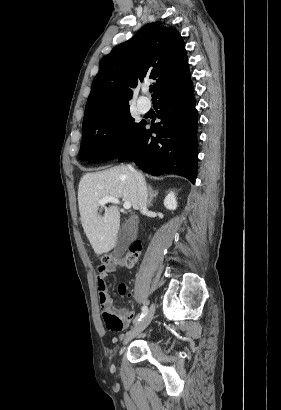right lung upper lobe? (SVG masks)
<instances>
[{"instance_id":"cb5924a9","label":"right lung upper lobe","mask_w":281,"mask_h":410,"mask_svg":"<svg viewBox=\"0 0 281 410\" xmlns=\"http://www.w3.org/2000/svg\"><path fill=\"white\" fill-rule=\"evenodd\" d=\"M152 80L153 100L190 80L184 41L161 22L145 25L132 39L114 47L100 62L88 97L83 124L129 107L132 90Z\"/></svg>"}]
</instances>
